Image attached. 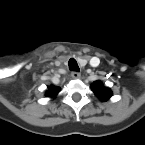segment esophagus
Instances as JSON below:
<instances>
[{"label":"esophagus","instance_id":"esophagus-1","mask_svg":"<svg viewBox=\"0 0 145 145\" xmlns=\"http://www.w3.org/2000/svg\"><path fill=\"white\" fill-rule=\"evenodd\" d=\"M80 76H81V74H80L79 72L73 71V72L71 73V77H72L73 79H78V78H80Z\"/></svg>","mask_w":145,"mask_h":145}]
</instances>
